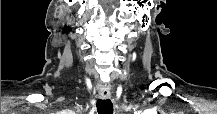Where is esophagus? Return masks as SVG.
Listing matches in <instances>:
<instances>
[{
  "instance_id": "esophagus-1",
  "label": "esophagus",
  "mask_w": 217,
  "mask_h": 114,
  "mask_svg": "<svg viewBox=\"0 0 217 114\" xmlns=\"http://www.w3.org/2000/svg\"><path fill=\"white\" fill-rule=\"evenodd\" d=\"M102 98L107 99V98H109V96H108V95H105V96H103Z\"/></svg>"
}]
</instances>
